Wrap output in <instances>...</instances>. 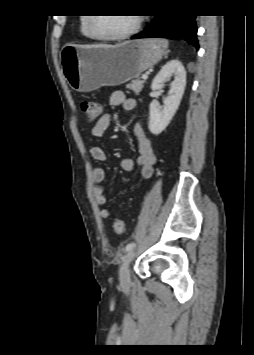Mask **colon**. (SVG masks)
<instances>
[{"label": "colon", "instance_id": "5ec220e1", "mask_svg": "<svg viewBox=\"0 0 254 355\" xmlns=\"http://www.w3.org/2000/svg\"><path fill=\"white\" fill-rule=\"evenodd\" d=\"M81 109L86 115L88 121L92 122L98 119L101 114V105L96 101L84 100L81 102ZM113 230L117 235H123L127 231L126 223L121 219H115Z\"/></svg>", "mask_w": 254, "mask_h": 355}]
</instances>
